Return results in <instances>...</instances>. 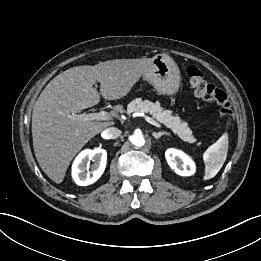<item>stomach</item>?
Here are the masks:
<instances>
[{
  "label": "stomach",
  "mask_w": 261,
  "mask_h": 261,
  "mask_svg": "<svg viewBox=\"0 0 261 261\" xmlns=\"http://www.w3.org/2000/svg\"><path fill=\"white\" fill-rule=\"evenodd\" d=\"M155 90L162 95H174L180 87L181 75L176 62L167 54L152 58L148 71L143 75Z\"/></svg>",
  "instance_id": "obj_1"
}]
</instances>
